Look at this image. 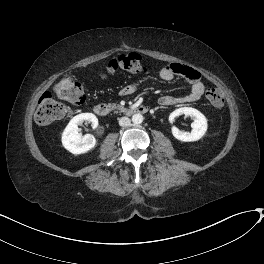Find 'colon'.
Segmentation results:
<instances>
[{"label": "colon", "instance_id": "1", "mask_svg": "<svg viewBox=\"0 0 264 264\" xmlns=\"http://www.w3.org/2000/svg\"><path fill=\"white\" fill-rule=\"evenodd\" d=\"M148 70L147 61L135 53L123 54L112 59L106 68L109 75L116 72L146 73ZM206 99L217 108L222 107L224 104L222 92L215 87L206 89ZM61 100L71 105L83 104L86 100L84 85L67 77L55 86L54 94L50 92L43 93L38 100L35 114L36 122L47 125L68 117L71 114V108L62 103Z\"/></svg>", "mask_w": 264, "mask_h": 264}]
</instances>
